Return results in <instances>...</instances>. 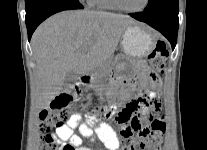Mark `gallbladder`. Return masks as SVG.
Segmentation results:
<instances>
[{
  "label": "gallbladder",
  "mask_w": 207,
  "mask_h": 150,
  "mask_svg": "<svg viewBox=\"0 0 207 150\" xmlns=\"http://www.w3.org/2000/svg\"><path fill=\"white\" fill-rule=\"evenodd\" d=\"M76 80H77V75L74 72H68L63 87L68 88Z\"/></svg>",
  "instance_id": "gallbladder-1"
}]
</instances>
